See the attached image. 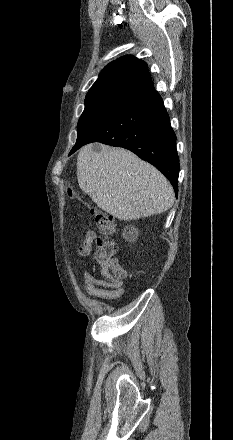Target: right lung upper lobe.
<instances>
[{
	"label": "right lung upper lobe",
	"mask_w": 233,
	"mask_h": 440,
	"mask_svg": "<svg viewBox=\"0 0 233 440\" xmlns=\"http://www.w3.org/2000/svg\"><path fill=\"white\" fill-rule=\"evenodd\" d=\"M154 90L147 64L126 55L109 63L86 95V102L113 101L127 104Z\"/></svg>",
	"instance_id": "cb5924a9"
}]
</instances>
